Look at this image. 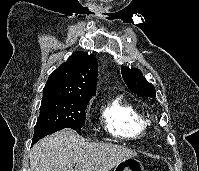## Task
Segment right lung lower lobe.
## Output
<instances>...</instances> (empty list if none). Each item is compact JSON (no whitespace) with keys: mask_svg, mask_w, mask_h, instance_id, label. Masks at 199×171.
Wrapping results in <instances>:
<instances>
[{"mask_svg":"<svg viewBox=\"0 0 199 171\" xmlns=\"http://www.w3.org/2000/svg\"><path fill=\"white\" fill-rule=\"evenodd\" d=\"M58 130H61V129H47L40 132L38 135H34L33 140H32V145L36 143L39 139L45 137L46 135L52 134Z\"/></svg>","mask_w":199,"mask_h":171,"instance_id":"98d812e1","label":"right lung lower lobe"}]
</instances>
